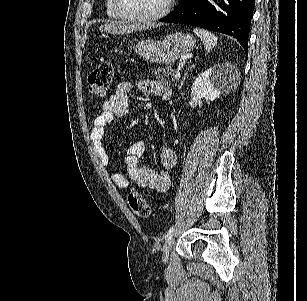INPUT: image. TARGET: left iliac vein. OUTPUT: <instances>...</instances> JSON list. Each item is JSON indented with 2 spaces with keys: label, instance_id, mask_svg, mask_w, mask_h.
I'll use <instances>...</instances> for the list:
<instances>
[{
  "label": "left iliac vein",
  "instance_id": "left-iliac-vein-1",
  "mask_svg": "<svg viewBox=\"0 0 307 301\" xmlns=\"http://www.w3.org/2000/svg\"><path fill=\"white\" fill-rule=\"evenodd\" d=\"M173 245H174V238L171 237L165 241L162 249V259L164 262L167 261V258L169 256L170 250L173 247Z\"/></svg>",
  "mask_w": 307,
  "mask_h": 301
}]
</instances>
